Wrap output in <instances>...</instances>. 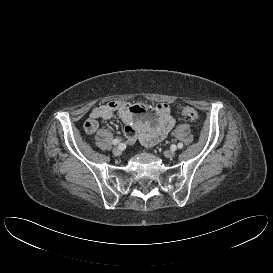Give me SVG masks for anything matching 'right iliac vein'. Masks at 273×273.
Instances as JSON below:
<instances>
[{
    "label": "right iliac vein",
    "mask_w": 273,
    "mask_h": 273,
    "mask_svg": "<svg viewBox=\"0 0 273 273\" xmlns=\"http://www.w3.org/2000/svg\"><path fill=\"white\" fill-rule=\"evenodd\" d=\"M113 154L115 155V156H119V155H121V153H122V148L119 146V147H115V148H113Z\"/></svg>",
    "instance_id": "1"
}]
</instances>
